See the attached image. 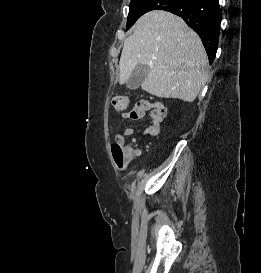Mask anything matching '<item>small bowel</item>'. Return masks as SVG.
<instances>
[{
    "instance_id": "1",
    "label": "small bowel",
    "mask_w": 261,
    "mask_h": 273,
    "mask_svg": "<svg viewBox=\"0 0 261 273\" xmlns=\"http://www.w3.org/2000/svg\"><path fill=\"white\" fill-rule=\"evenodd\" d=\"M144 106V113L146 110H151V121L152 123L146 128L145 133L150 136H156L161 129V124L165 116V108L159 103H151L149 101H140ZM122 118L130 120V112H123ZM134 133L133 128L127 127L124 132V137L132 136ZM128 154V163L132 162L136 158L141 156V150L134 146H128L126 148Z\"/></svg>"
}]
</instances>
